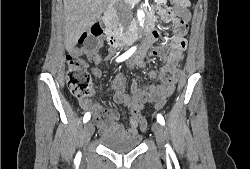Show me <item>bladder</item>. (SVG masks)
Masks as SVG:
<instances>
[{
	"mask_svg": "<svg viewBox=\"0 0 250 169\" xmlns=\"http://www.w3.org/2000/svg\"><path fill=\"white\" fill-rule=\"evenodd\" d=\"M101 146L107 150L124 154L138 149L143 142L141 133H102Z\"/></svg>",
	"mask_w": 250,
	"mask_h": 169,
	"instance_id": "obj_1",
	"label": "bladder"
}]
</instances>
